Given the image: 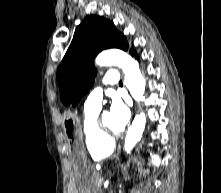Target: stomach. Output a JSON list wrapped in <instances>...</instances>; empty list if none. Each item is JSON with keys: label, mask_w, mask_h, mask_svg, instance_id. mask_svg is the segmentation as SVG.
Segmentation results:
<instances>
[{"label": "stomach", "mask_w": 221, "mask_h": 193, "mask_svg": "<svg viewBox=\"0 0 221 193\" xmlns=\"http://www.w3.org/2000/svg\"><path fill=\"white\" fill-rule=\"evenodd\" d=\"M61 120V133L65 134L68 152L73 155L71 167H75L77 177L76 193H96L95 177H97L96 164L87 162L86 147H84V133L81 129L79 115H75L74 110H67Z\"/></svg>", "instance_id": "1"}]
</instances>
